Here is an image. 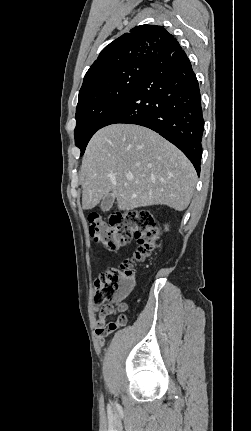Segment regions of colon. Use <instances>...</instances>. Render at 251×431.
<instances>
[{"instance_id": "obj_1", "label": "colon", "mask_w": 251, "mask_h": 431, "mask_svg": "<svg viewBox=\"0 0 251 431\" xmlns=\"http://www.w3.org/2000/svg\"><path fill=\"white\" fill-rule=\"evenodd\" d=\"M87 224L91 240L108 250H117L132 239L138 242L131 259L101 273L95 281V303L110 314L119 313L117 321L109 324V329L115 330L127 321L124 314L127 304L123 299L133 286L134 262L145 260L158 249V229L153 215L143 209L114 214L108 221L97 213H90Z\"/></svg>"}]
</instances>
